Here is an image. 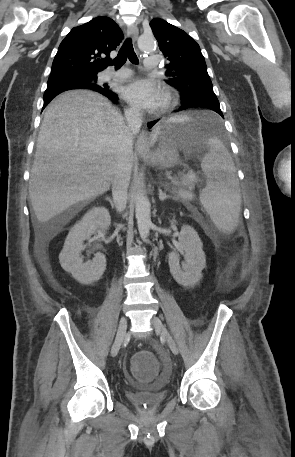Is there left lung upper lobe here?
Segmentation results:
<instances>
[{
	"label": "left lung upper lobe",
	"mask_w": 295,
	"mask_h": 457,
	"mask_svg": "<svg viewBox=\"0 0 295 457\" xmlns=\"http://www.w3.org/2000/svg\"><path fill=\"white\" fill-rule=\"evenodd\" d=\"M150 27L167 60L165 82L180 92L183 104L206 96L217 98L198 43L163 19L154 18Z\"/></svg>",
	"instance_id": "left-lung-upper-lobe-1"
}]
</instances>
